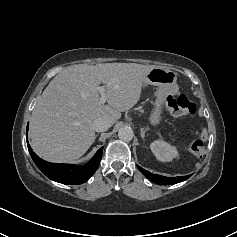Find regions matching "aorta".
<instances>
[{
  "label": "aorta",
  "mask_w": 237,
  "mask_h": 237,
  "mask_svg": "<svg viewBox=\"0 0 237 237\" xmlns=\"http://www.w3.org/2000/svg\"><path fill=\"white\" fill-rule=\"evenodd\" d=\"M134 133L133 130L130 127H124L119 129L118 131V137L120 140L124 142H129L133 139Z\"/></svg>",
  "instance_id": "762f6f07"
}]
</instances>
